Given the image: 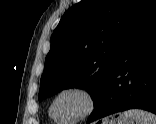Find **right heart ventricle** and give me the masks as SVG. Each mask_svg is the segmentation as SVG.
Listing matches in <instances>:
<instances>
[{
	"instance_id": "e07e8e85",
	"label": "right heart ventricle",
	"mask_w": 156,
	"mask_h": 124,
	"mask_svg": "<svg viewBox=\"0 0 156 124\" xmlns=\"http://www.w3.org/2000/svg\"><path fill=\"white\" fill-rule=\"evenodd\" d=\"M49 115H50V117H51V119L53 120V121H55V122H57V123H65V122H63V120L62 119H58V118H55L52 114H51V112L49 111Z\"/></svg>"
}]
</instances>
